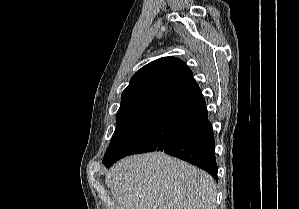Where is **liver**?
Wrapping results in <instances>:
<instances>
[{"instance_id": "1", "label": "liver", "mask_w": 299, "mask_h": 209, "mask_svg": "<svg viewBox=\"0 0 299 209\" xmlns=\"http://www.w3.org/2000/svg\"><path fill=\"white\" fill-rule=\"evenodd\" d=\"M105 184L113 209H216V183L206 172L164 152L117 162Z\"/></svg>"}]
</instances>
